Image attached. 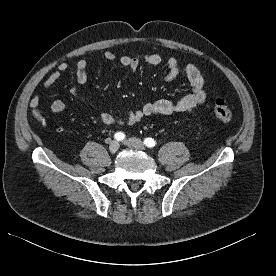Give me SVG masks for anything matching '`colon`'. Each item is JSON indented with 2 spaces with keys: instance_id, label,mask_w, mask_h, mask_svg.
<instances>
[{
  "instance_id": "obj_1",
  "label": "colon",
  "mask_w": 276,
  "mask_h": 276,
  "mask_svg": "<svg viewBox=\"0 0 276 276\" xmlns=\"http://www.w3.org/2000/svg\"><path fill=\"white\" fill-rule=\"evenodd\" d=\"M212 109L216 119L223 123H228L233 117L232 108L221 98L213 100ZM39 118V115H36Z\"/></svg>"
}]
</instances>
